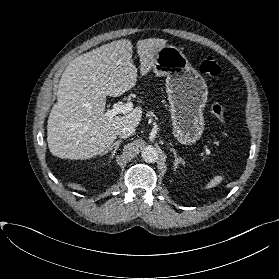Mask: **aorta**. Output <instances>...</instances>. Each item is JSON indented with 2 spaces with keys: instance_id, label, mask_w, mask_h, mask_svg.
Listing matches in <instances>:
<instances>
[{
  "instance_id": "aorta-1",
  "label": "aorta",
  "mask_w": 279,
  "mask_h": 279,
  "mask_svg": "<svg viewBox=\"0 0 279 279\" xmlns=\"http://www.w3.org/2000/svg\"><path fill=\"white\" fill-rule=\"evenodd\" d=\"M158 155V150L151 145L146 146L141 152L142 159L149 163L155 162L158 159Z\"/></svg>"
}]
</instances>
